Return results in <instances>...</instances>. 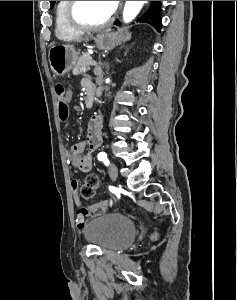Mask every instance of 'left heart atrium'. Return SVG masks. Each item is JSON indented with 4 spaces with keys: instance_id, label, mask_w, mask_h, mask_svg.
I'll return each mask as SVG.
<instances>
[{
    "instance_id": "1",
    "label": "left heart atrium",
    "mask_w": 237,
    "mask_h": 300,
    "mask_svg": "<svg viewBox=\"0 0 237 300\" xmlns=\"http://www.w3.org/2000/svg\"><path fill=\"white\" fill-rule=\"evenodd\" d=\"M119 1H109V4L113 10L116 9Z\"/></svg>"
}]
</instances>
